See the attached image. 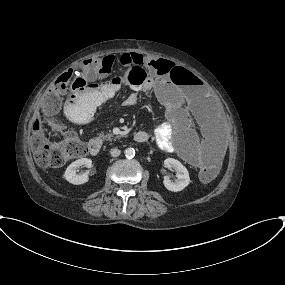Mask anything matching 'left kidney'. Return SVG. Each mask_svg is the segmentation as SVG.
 I'll list each match as a JSON object with an SVG mask.
<instances>
[{
    "label": "left kidney",
    "mask_w": 285,
    "mask_h": 285,
    "mask_svg": "<svg viewBox=\"0 0 285 285\" xmlns=\"http://www.w3.org/2000/svg\"><path fill=\"white\" fill-rule=\"evenodd\" d=\"M164 166L166 168H173L176 171L177 180L175 182L171 181L167 176L164 177V186L169 191L178 192L188 186L190 182L189 173L181 162L174 158H167L164 160Z\"/></svg>",
    "instance_id": "1"
}]
</instances>
